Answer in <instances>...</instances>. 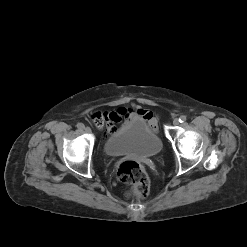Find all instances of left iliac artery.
Wrapping results in <instances>:
<instances>
[{
    "instance_id": "obj_1",
    "label": "left iliac artery",
    "mask_w": 247,
    "mask_h": 247,
    "mask_svg": "<svg viewBox=\"0 0 247 247\" xmlns=\"http://www.w3.org/2000/svg\"><path fill=\"white\" fill-rule=\"evenodd\" d=\"M186 116L185 115H182V116H180V118H179V122L180 123H183V122H185L186 121Z\"/></svg>"
}]
</instances>
